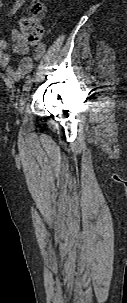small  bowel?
<instances>
[{
    "label": "small bowel",
    "mask_w": 127,
    "mask_h": 303,
    "mask_svg": "<svg viewBox=\"0 0 127 303\" xmlns=\"http://www.w3.org/2000/svg\"><path fill=\"white\" fill-rule=\"evenodd\" d=\"M27 0H14L11 7L6 11L5 15L9 16L18 11ZM2 8V0H0V9ZM13 38L16 40L12 50L15 54L21 55L22 58L17 66H10L11 56L6 51L9 47L8 42L0 36V66L5 69L8 78L13 81H19L22 77L27 75L45 53V45L41 44L35 47L33 57L27 55L28 46L19 40L17 30L12 32Z\"/></svg>",
    "instance_id": "obj_1"
}]
</instances>
